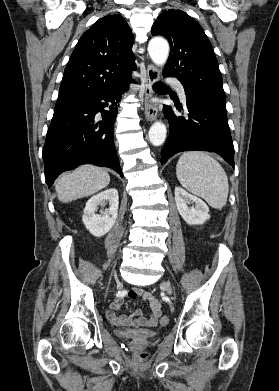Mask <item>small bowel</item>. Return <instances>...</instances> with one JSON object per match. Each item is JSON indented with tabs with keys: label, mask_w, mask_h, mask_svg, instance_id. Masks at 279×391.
Listing matches in <instances>:
<instances>
[{
	"label": "small bowel",
	"mask_w": 279,
	"mask_h": 391,
	"mask_svg": "<svg viewBox=\"0 0 279 391\" xmlns=\"http://www.w3.org/2000/svg\"><path fill=\"white\" fill-rule=\"evenodd\" d=\"M126 295L130 298L142 297L149 304L150 315L144 317L141 310H136L130 316H119L117 311L123 305V297H117L106 312L107 319L116 326H132V327H154L157 325L161 316V305L149 292L141 289H131Z\"/></svg>",
	"instance_id": "c3829d8e"
}]
</instances>
